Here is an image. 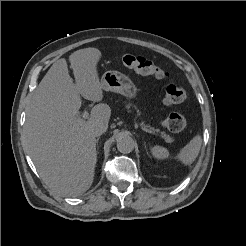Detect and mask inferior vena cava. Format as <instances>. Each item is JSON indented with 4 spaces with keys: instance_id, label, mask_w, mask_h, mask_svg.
Listing matches in <instances>:
<instances>
[{
    "instance_id": "602c4592",
    "label": "inferior vena cava",
    "mask_w": 246,
    "mask_h": 246,
    "mask_svg": "<svg viewBox=\"0 0 246 246\" xmlns=\"http://www.w3.org/2000/svg\"><path fill=\"white\" fill-rule=\"evenodd\" d=\"M106 130H107V127L104 124H98L92 128L91 133L94 137H98L102 135L103 133H105Z\"/></svg>"
}]
</instances>
